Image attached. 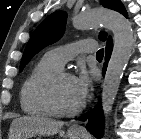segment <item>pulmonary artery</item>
<instances>
[{
    "mask_svg": "<svg viewBox=\"0 0 141 139\" xmlns=\"http://www.w3.org/2000/svg\"><path fill=\"white\" fill-rule=\"evenodd\" d=\"M97 48L94 40H80L78 42L57 47L48 51L45 58L58 68H63L67 61L78 53H91Z\"/></svg>",
    "mask_w": 141,
    "mask_h": 139,
    "instance_id": "1",
    "label": "pulmonary artery"
}]
</instances>
